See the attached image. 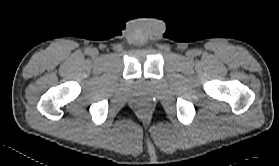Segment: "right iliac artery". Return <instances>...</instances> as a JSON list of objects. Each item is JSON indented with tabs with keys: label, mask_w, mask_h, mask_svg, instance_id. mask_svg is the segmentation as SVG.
I'll list each match as a JSON object with an SVG mask.
<instances>
[{
	"label": "right iliac artery",
	"mask_w": 279,
	"mask_h": 166,
	"mask_svg": "<svg viewBox=\"0 0 279 166\" xmlns=\"http://www.w3.org/2000/svg\"><path fill=\"white\" fill-rule=\"evenodd\" d=\"M86 52H87L88 54H90V53L92 52V49H91V48H87V49H86Z\"/></svg>",
	"instance_id": "right-iliac-artery-1"
}]
</instances>
